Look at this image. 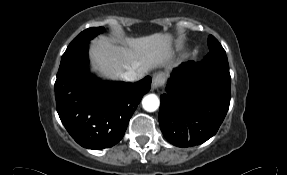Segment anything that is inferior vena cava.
<instances>
[{"mask_svg":"<svg viewBox=\"0 0 287 175\" xmlns=\"http://www.w3.org/2000/svg\"><path fill=\"white\" fill-rule=\"evenodd\" d=\"M121 78L124 81L134 82V81L138 80L139 74H137L135 71L130 70V71H126L125 73H123L121 75Z\"/></svg>","mask_w":287,"mask_h":175,"instance_id":"inferior-vena-cava-1","label":"inferior vena cava"}]
</instances>
